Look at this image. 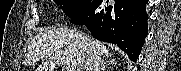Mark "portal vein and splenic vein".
Returning a JSON list of instances; mask_svg holds the SVG:
<instances>
[{
    "label": "portal vein and splenic vein",
    "mask_w": 181,
    "mask_h": 71,
    "mask_svg": "<svg viewBox=\"0 0 181 71\" xmlns=\"http://www.w3.org/2000/svg\"><path fill=\"white\" fill-rule=\"evenodd\" d=\"M65 70H66V71H74L73 68H69V67H66Z\"/></svg>",
    "instance_id": "portal-vein-and-splenic-vein-1"
}]
</instances>
